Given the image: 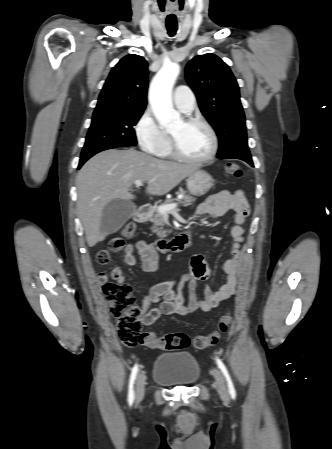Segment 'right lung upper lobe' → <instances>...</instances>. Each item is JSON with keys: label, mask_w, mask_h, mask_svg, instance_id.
Returning a JSON list of instances; mask_svg holds the SVG:
<instances>
[{"label": "right lung upper lobe", "mask_w": 332, "mask_h": 449, "mask_svg": "<svg viewBox=\"0 0 332 449\" xmlns=\"http://www.w3.org/2000/svg\"><path fill=\"white\" fill-rule=\"evenodd\" d=\"M148 64L129 54L111 70L93 115L117 111H144L147 104Z\"/></svg>", "instance_id": "cb5924a9"}]
</instances>
